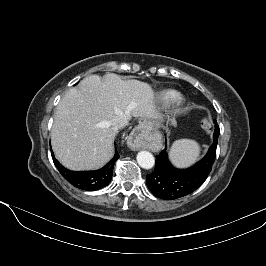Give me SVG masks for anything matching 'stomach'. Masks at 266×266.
<instances>
[{
    "label": "stomach",
    "mask_w": 266,
    "mask_h": 266,
    "mask_svg": "<svg viewBox=\"0 0 266 266\" xmlns=\"http://www.w3.org/2000/svg\"><path fill=\"white\" fill-rule=\"evenodd\" d=\"M149 124H150V128H151V129L157 127V123H156V122H149Z\"/></svg>",
    "instance_id": "1"
}]
</instances>
